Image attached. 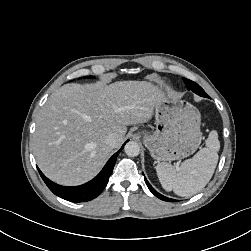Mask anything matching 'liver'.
<instances>
[{
  "label": "liver",
  "instance_id": "obj_1",
  "mask_svg": "<svg viewBox=\"0 0 251 251\" xmlns=\"http://www.w3.org/2000/svg\"><path fill=\"white\" fill-rule=\"evenodd\" d=\"M164 96L146 81L60 87L37 118L33 146L39 168L62 185L91 180L122 145L127 126L148 122ZM111 133L117 135L114 147L105 142Z\"/></svg>",
  "mask_w": 251,
  "mask_h": 251
}]
</instances>
